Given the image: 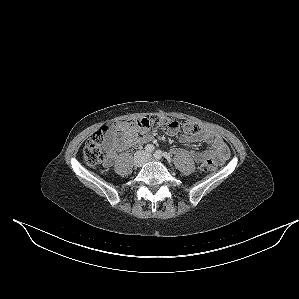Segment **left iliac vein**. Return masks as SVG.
<instances>
[{"label":"left iliac vein","mask_w":299,"mask_h":299,"mask_svg":"<svg viewBox=\"0 0 299 299\" xmlns=\"http://www.w3.org/2000/svg\"><path fill=\"white\" fill-rule=\"evenodd\" d=\"M148 159L150 160V159H151V156H148Z\"/></svg>","instance_id":"1"}]
</instances>
